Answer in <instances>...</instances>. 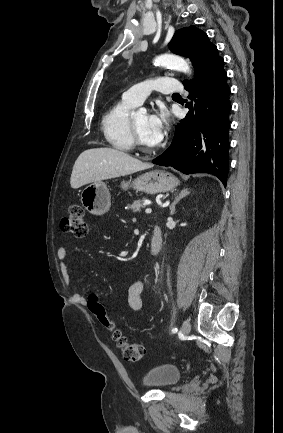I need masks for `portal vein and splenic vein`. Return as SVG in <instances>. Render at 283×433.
Returning <instances> with one entry per match:
<instances>
[{
    "label": "portal vein and splenic vein",
    "mask_w": 283,
    "mask_h": 433,
    "mask_svg": "<svg viewBox=\"0 0 283 433\" xmlns=\"http://www.w3.org/2000/svg\"><path fill=\"white\" fill-rule=\"evenodd\" d=\"M145 212H152V208H145Z\"/></svg>",
    "instance_id": "18ae733b"
}]
</instances>
